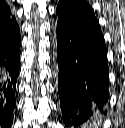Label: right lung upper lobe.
Listing matches in <instances>:
<instances>
[{"mask_svg": "<svg viewBox=\"0 0 125 128\" xmlns=\"http://www.w3.org/2000/svg\"><path fill=\"white\" fill-rule=\"evenodd\" d=\"M15 22V17L10 16V7L5 1L0 0V29L5 28Z\"/></svg>", "mask_w": 125, "mask_h": 128, "instance_id": "cb5924a9", "label": "right lung upper lobe"}]
</instances>
